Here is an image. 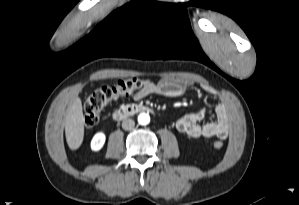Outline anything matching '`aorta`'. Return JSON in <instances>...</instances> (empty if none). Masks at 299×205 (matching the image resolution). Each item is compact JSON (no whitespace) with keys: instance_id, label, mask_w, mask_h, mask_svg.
<instances>
[{"instance_id":"obj_1","label":"aorta","mask_w":299,"mask_h":205,"mask_svg":"<svg viewBox=\"0 0 299 205\" xmlns=\"http://www.w3.org/2000/svg\"><path fill=\"white\" fill-rule=\"evenodd\" d=\"M150 122V116L146 113H140L138 116V123L140 125H147Z\"/></svg>"}]
</instances>
